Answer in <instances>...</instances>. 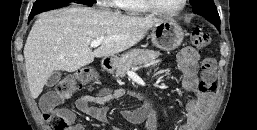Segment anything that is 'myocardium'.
Segmentation results:
<instances>
[{
  "mask_svg": "<svg viewBox=\"0 0 257 130\" xmlns=\"http://www.w3.org/2000/svg\"><path fill=\"white\" fill-rule=\"evenodd\" d=\"M143 2H144V5L148 8V10L153 13L164 15V16H176L185 9V7L187 6L188 0H182L181 5L177 9L172 11L161 9L156 5L154 0H143Z\"/></svg>",
  "mask_w": 257,
  "mask_h": 130,
  "instance_id": "1",
  "label": "myocardium"
}]
</instances>
